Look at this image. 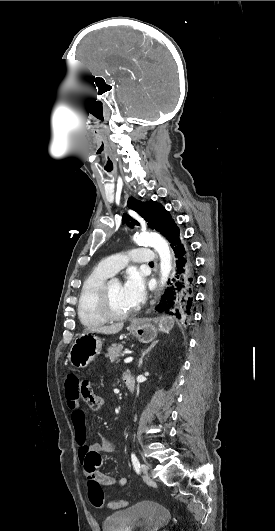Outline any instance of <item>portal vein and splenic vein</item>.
Here are the masks:
<instances>
[{
	"instance_id": "18ae733b",
	"label": "portal vein and splenic vein",
	"mask_w": 275,
	"mask_h": 531,
	"mask_svg": "<svg viewBox=\"0 0 275 531\" xmlns=\"http://www.w3.org/2000/svg\"><path fill=\"white\" fill-rule=\"evenodd\" d=\"M133 361V357H128V359H124V363H131Z\"/></svg>"
}]
</instances>
